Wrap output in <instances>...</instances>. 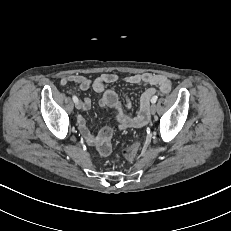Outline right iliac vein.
<instances>
[{"label": "right iliac vein", "mask_w": 231, "mask_h": 231, "mask_svg": "<svg viewBox=\"0 0 231 231\" xmlns=\"http://www.w3.org/2000/svg\"><path fill=\"white\" fill-rule=\"evenodd\" d=\"M75 107H76L77 109H81V108H82V102H81V101H77V102L75 103Z\"/></svg>", "instance_id": "obj_1"}]
</instances>
